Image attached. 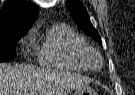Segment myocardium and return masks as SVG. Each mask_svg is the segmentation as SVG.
<instances>
[{
    "mask_svg": "<svg viewBox=\"0 0 135 95\" xmlns=\"http://www.w3.org/2000/svg\"><path fill=\"white\" fill-rule=\"evenodd\" d=\"M85 57H86L88 66L92 69H99L103 64V60L101 56L93 50L88 51Z\"/></svg>",
    "mask_w": 135,
    "mask_h": 95,
    "instance_id": "1",
    "label": "myocardium"
}]
</instances>
